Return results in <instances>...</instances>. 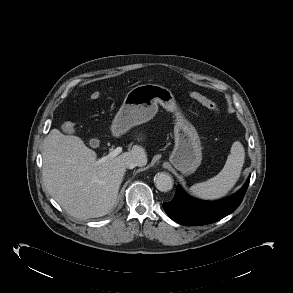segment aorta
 Segmentation results:
<instances>
[{
    "instance_id": "762f6f07",
    "label": "aorta",
    "mask_w": 293,
    "mask_h": 293,
    "mask_svg": "<svg viewBox=\"0 0 293 293\" xmlns=\"http://www.w3.org/2000/svg\"><path fill=\"white\" fill-rule=\"evenodd\" d=\"M155 186L161 192H168L173 187V179L168 173L160 172L155 176Z\"/></svg>"
}]
</instances>
